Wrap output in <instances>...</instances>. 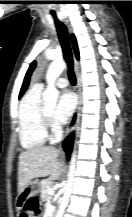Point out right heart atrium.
I'll return each mask as SVG.
<instances>
[{
	"mask_svg": "<svg viewBox=\"0 0 132 217\" xmlns=\"http://www.w3.org/2000/svg\"><path fill=\"white\" fill-rule=\"evenodd\" d=\"M50 128L55 133L59 131V127L56 124L52 123V122L50 123Z\"/></svg>",
	"mask_w": 132,
	"mask_h": 217,
	"instance_id": "right-heart-atrium-1",
	"label": "right heart atrium"
}]
</instances>
